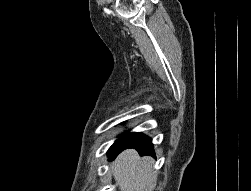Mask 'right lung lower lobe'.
<instances>
[{
	"label": "right lung lower lobe",
	"instance_id": "right-lung-lower-lobe-1",
	"mask_svg": "<svg viewBox=\"0 0 251 191\" xmlns=\"http://www.w3.org/2000/svg\"><path fill=\"white\" fill-rule=\"evenodd\" d=\"M127 148H135L141 156H154L151 138L142 133H126L115 141L108 153L114 159L120 152Z\"/></svg>",
	"mask_w": 251,
	"mask_h": 191
}]
</instances>
